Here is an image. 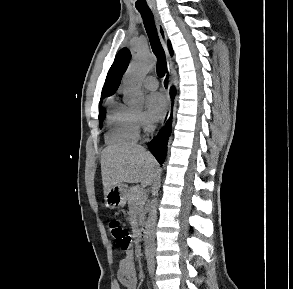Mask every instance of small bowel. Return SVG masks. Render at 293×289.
Listing matches in <instances>:
<instances>
[{
    "instance_id": "1",
    "label": "small bowel",
    "mask_w": 293,
    "mask_h": 289,
    "mask_svg": "<svg viewBox=\"0 0 293 289\" xmlns=\"http://www.w3.org/2000/svg\"><path fill=\"white\" fill-rule=\"evenodd\" d=\"M122 285L125 289H136L137 274L133 251H128L119 263L117 271V282L113 289H120Z\"/></svg>"
}]
</instances>
